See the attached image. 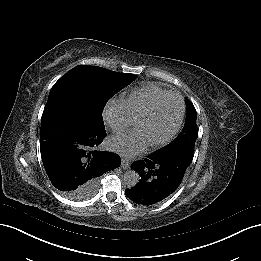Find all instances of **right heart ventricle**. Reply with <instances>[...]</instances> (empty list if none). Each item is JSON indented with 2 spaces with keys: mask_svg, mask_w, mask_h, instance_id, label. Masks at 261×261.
Here are the masks:
<instances>
[{
  "mask_svg": "<svg viewBox=\"0 0 261 261\" xmlns=\"http://www.w3.org/2000/svg\"><path fill=\"white\" fill-rule=\"evenodd\" d=\"M172 95L173 93L166 88L149 85L134 91L122 102V107L127 116L136 119L168 100Z\"/></svg>",
  "mask_w": 261,
  "mask_h": 261,
  "instance_id": "1",
  "label": "right heart ventricle"
}]
</instances>
